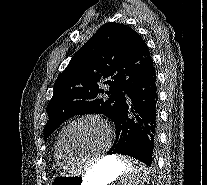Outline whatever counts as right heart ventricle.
<instances>
[{
    "label": "right heart ventricle",
    "instance_id": "right-heart-ventricle-1",
    "mask_svg": "<svg viewBox=\"0 0 207 185\" xmlns=\"http://www.w3.org/2000/svg\"><path fill=\"white\" fill-rule=\"evenodd\" d=\"M61 133L62 131L59 133L55 145H54V157L57 161V163L59 165H70L73 164V161H71L70 159H68L63 152L61 151V147H60V137H61Z\"/></svg>",
    "mask_w": 207,
    "mask_h": 185
}]
</instances>
